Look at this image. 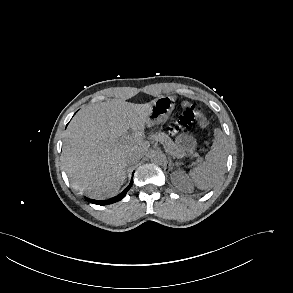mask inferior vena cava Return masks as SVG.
<instances>
[{
	"label": "inferior vena cava",
	"mask_w": 293,
	"mask_h": 293,
	"mask_svg": "<svg viewBox=\"0 0 293 293\" xmlns=\"http://www.w3.org/2000/svg\"><path fill=\"white\" fill-rule=\"evenodd\" d=\"M141 157H142L141 153L136 152V151H130L126 155V163L128 165H134L140 160Z\"/></svg>",
	"instance_id": "602c4592"
}]
</instances>
